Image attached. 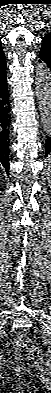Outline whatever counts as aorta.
<instances>
[{"mask_svg": "<svg viewBox=\"0 0 51 393\" xmlns=\"http://www.w3.org/2000/svg\"><path fill=\"white\" fill-rule=\"evenodd\" d=\"M35 84L42 125L45 132L49 134L51 132V73L44 62L37 64Z\"/></svg>", "mask_w": 51, "mask_h": 393, "instance_id": "aorta-1", "label": "aorta"}]
</instances>
